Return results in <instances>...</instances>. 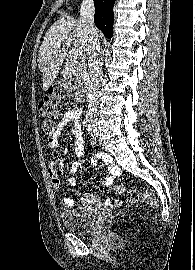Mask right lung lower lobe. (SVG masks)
I'll return each mask as SVG.
<instances>
[{"label":"right lung lower lobe","instance_id":"obj_1","mask_svg":"<svg viewBox=\"0 0 195 270\" xmlns=\"http://www.w3.org/2000/svg\"><path fill=\"white\" fill-rule=\"evenodd\" d=\"M114 3L115 0H94V23L108 38H111L113 33Z\"/></svg>","mask_w":195,"mask_h":270}]
</instances>
